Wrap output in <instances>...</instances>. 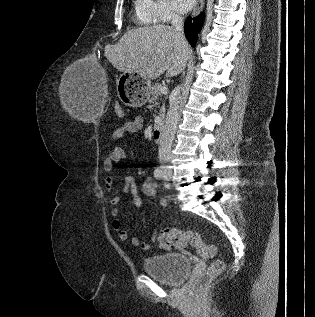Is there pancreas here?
<instances>
[{"instance_id": "1", "label": "pancreas", "mask_w": 315, "mask_h": 317, "mask_svg": "<svg viewBox=\"0 0 315 317\" xmlns=\"http://www.w3.org/2000/svg\"><path fill=\"white\" fill-rule=\"evenodd\" d=\"M161 88H163V86L161 84H155L152 87V97L150 99L151 103H154L158 99V97L161 94Z\"/></svg>"}]
</instances>
